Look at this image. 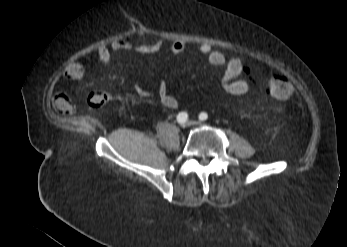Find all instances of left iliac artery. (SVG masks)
I'll return each instance as SVG.
<instances>
[{
  "instance_id": "44dca946",
  "label": "left iliac artery",
  "mask_w": 347,
  "mask_h": 247,
  "mask_svg": "<svg viewBox=\"0 0 347 247\" xmlns=\"http://www.w3.org/2000/svg\"><path fill=\"white\" fill-rule=\"evenodd\" d=\"M207 118H208L207 113L202 112V113L199 114V119H200L201 121H205V120H207Z\"/></svg>"
}]
</instances>
